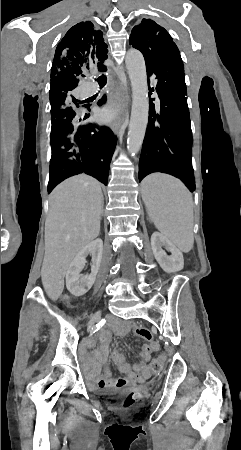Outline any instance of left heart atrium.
<instances>
[{
	"instance_id": "39dd6f15",
	"label": "left heart atrium",
	"mask_w": 241,
	"mask_h": 450,
	"mask_svg": "<svg viewBox=\"0 0 241 450\" xmlns=\"http://www.w3.org/2000/svg\"><path fill=\"white\" fill-rule=\"evenodd\" d=\"M114 117V111L111 109H105L102 112V120L104 122H109Z\"/></svg>"
}]
</instances>
